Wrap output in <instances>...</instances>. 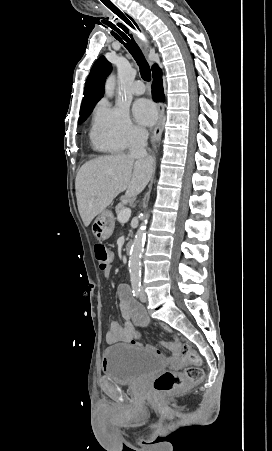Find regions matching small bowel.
<instances>
[{
    "label": "small bowel",
    "instance_id": "obj_1",
    "mask_svg": "<svg viewBox=\"0 0 272 451\" xmlns=\"http://www.w3.org/2000/svg\"><path fill=\"white\" fill-rule=\"evenodd\" d=\"M111 272V265L104 270L105 277ZM117 294L119 297L118 309L124 323L112 321L106 333L105 339L108 344L127 343L136 347H141V342L137 336L135 326L132 321L140 324L144 321L145 315L142 307L136 303L127 285L121 284L118 287ZM181 344L180 338L174 336L172 341H163L161 346L165 349L177 348ZM148 349L159 353L157 347L149 345Z\"/></svg>",
    "mask_w": 272,
    "mask_h": 451
}]
</instances>
